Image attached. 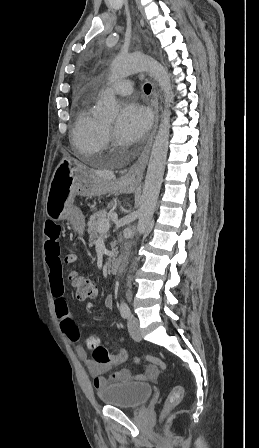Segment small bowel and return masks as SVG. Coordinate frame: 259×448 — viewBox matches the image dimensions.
Returning a JSON list of instances; mask_svg holds the SVG:
<instances>
[{
	"label": "small bowel",
	"mask_w": 259,
	"mask_h": 448,
	"mask_svg": "<svg viewBox=\"0 0 259 448\" xmlns=\"http://www.w3.org/2000/svg\"><path fill=\"white\" fill-rule=\"evenodd\" d=\"M61 229L56 223L49 221L44 228V252L45 261L49 270V281L52 296L54 297L55 314L59 320L60 328L66 336L73 342H80L84 339L75 323L73 322L67 301L64 297V285L62 279V265L60 261L59 237ZM106 305L113 306L112 297L106 298ZM76 352L81 360L86 364L90 375L94 378L93 385L97 390L107 386L109 380L103 376L113 364H100L88 358L87 352L81 345L76 347ZM138 363V361H135ZM158 374L156 367L148 365L144 367L142 373L134 374L128 369H121L112 374L111 380L115 382L127 383L131 381H148L154 379Z\"/></svg>",
	"instance_id": "c3829d8e"
}]
</instances>
